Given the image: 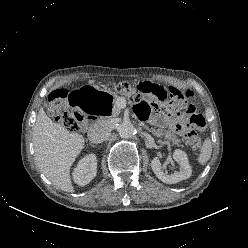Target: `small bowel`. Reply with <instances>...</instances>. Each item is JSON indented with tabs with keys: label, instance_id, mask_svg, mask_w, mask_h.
Segmentation results:
<instances>
[{
	"label": "small bowel",
	"instance_id": "small-bowel-1",
	"mask_svg": "<svg viewBox=\"0 0 248 248\" xmlns=\"http://www.w3.org/2000/svg\"><path fill=\"white\" fill-rule=\"evenodd\" d=\"M134 111L140 120L150 119L154 124L159 126L167 125L173 131L182 135L186 141L190 143L191 130L188 124H186L183 116H179V114L177 115L175 113L163 114L148 102L136 104Z\"/></svg>",
	"mask_w": 248,
	"mask_h": 248
}]
</instances>
